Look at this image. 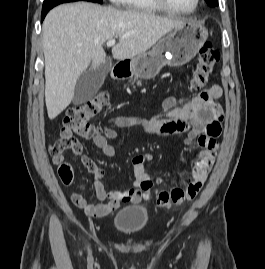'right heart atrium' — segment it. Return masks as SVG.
I'll use <instances>...</instances> for the list:
<instances>
[{
  "label": "right heart atrium",
  "mask_w": 265,
  "mask_h": 269,
  "mask_svg": "<svg viewBox=\"0 0 265 269\" xmlns=\"http://www.w3.org/2000/svg\"><path fill=\"white\" fill-rule=\"evenodd\" d=\"M112 4H119L122 2V0H110Z\"/></svg>",
  "instance_id": "right-heart-atrium-1"
}]
</instances>
